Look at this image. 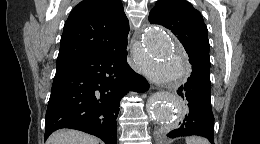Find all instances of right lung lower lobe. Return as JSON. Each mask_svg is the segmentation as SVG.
<instances>
[{"instance_id": "obj_1", "label": "right lung lower lobe", "mask_w": 260, "mask_h": 144, "mask_svg": "<svg viewBox=\"0 0 260 144\" xmlns=\"http://www.w3.org/2000/svg\"><path fill=\"white\" fill-rule=\"evenodd\" d=\"M126 47L81 58L56 68L45 119V139L72 128L117 144L116 119L121 98L149 84L127 63Z\"/></svg>"}]
</instances>
